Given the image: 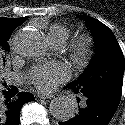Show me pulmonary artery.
I'll return each instance as SVG.
<instances>
[{
  "instance_id": "obj_1",
  "label": "pulmonary artery",
  "mask_w": 125,
  "mask_h": 125,
  "mask_svg": "<svg viewBox=\"0 0 125 125\" xmlns=\"http://www.w3.org/2000/svg\"><path fill=\"white\" fill-rule=\"evenodd\" d=\"M55 48H61L63 46L62 42H52Z\"/></svg>"
}]
</instances>
